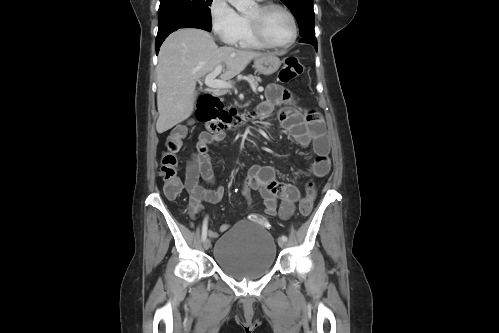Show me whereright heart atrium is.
<instances>
[{
    "label": "right heart atrium",
    "instance_id": "1",
    "mask_svg": "<svg viewBox=\"0 0 499 333\" xmlns=\"http://www.w3.org/2000/svg\"><path fill=\"white\" fill-rule=\"evenodd\" d=\"M209 19L213 34L223 43L234 44L242 26L243 17L227 0H211Z\"/></svg>",
    "mask_w": 499,
    "mask_h": 333
}]
</instances>
